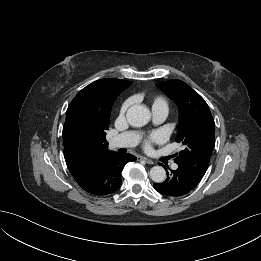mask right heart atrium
I'll return each instance as SVG.
<instances>
[{"label": "right heart atrium", "instance_id": "right-heart-atrium-1", "mask_svg": "<svg viewBox=\"0 0 261 261\" xmlns=\"http://www.w3.org/2000/svg\"><path fill=\"white\" fill-rule=\"evenodd\" d=\"M132 103V100L131 99H128L126 101H124L119 109V116L120 117H124L127 110L129 109L130 105Z\"/></svg>", "mask_w": 261, "mask_h": 261}]
</instances>
